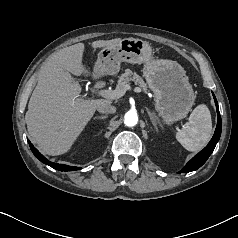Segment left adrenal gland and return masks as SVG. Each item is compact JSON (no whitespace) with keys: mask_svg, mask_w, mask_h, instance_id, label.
I'll return each instance as SVG.
<instances>
[{"mask_svg":"<svg viewBox=\"0 0 238 238\" xmlns=\"http://www.w3.org/2000/svg\"><path fill=\"white\" fill-rule=\"evenodd\" d=\"M147 113H148V115L150 116V120H151V122H152L154 128H155L156 130H158L157 123L159 124V121H158L157 116L155 115L154 112H151L149 109H147Z\"/></svg>","mask_w":238,"mask_h":238,"instance_id":"obj_1","label":"left adrenal gland"}]
</instances>
